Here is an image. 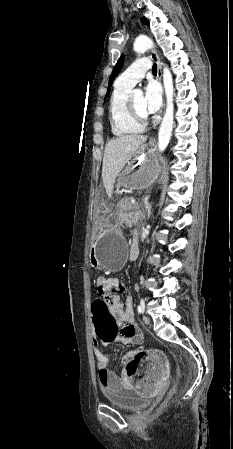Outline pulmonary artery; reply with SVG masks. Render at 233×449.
<instances>
[{"mask_svg": "<svg viewBox=\"0 0 233 449\" xmlns=\"http://www.w3.org/2000/svg\"><path fill=\"white\" fill-rule=\"evenodd\" d=\"M151 68V62L147 58L134 61L123 73L120 74L116 83L121 86L132 88L139 82L145 73Z\"/></svg>", "mask_w": 233, "mask_h": 449, "instance_id": "1", "label": "pulmonary artery"}]
</instances>
